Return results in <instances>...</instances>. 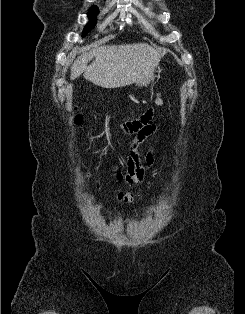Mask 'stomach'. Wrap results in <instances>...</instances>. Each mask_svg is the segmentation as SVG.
<instances>
[{
    "instance_id": "obj_1",
    "label": "stomach",
    "mask_w": 245,
    "mask_h": 314,
    "mask_svg": "<svg viewBox=\"0 0 245 314\" xmlns=\"http://www.w3.org/2000/svg\"><path fill=\"white\" fill-rule=\"evenodd\" d=\"M153 79H154V74L152 73L149 76H147L146 78H143V79L137 81L136 85L139 87L147 86Z\"/></svg>"
}]
</instances>
